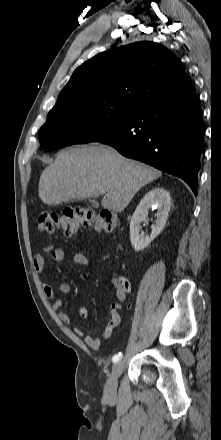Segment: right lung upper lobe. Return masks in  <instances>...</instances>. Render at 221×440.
Masks as SVG:
<instances>
[{"label":"right lung upper lobe","mask_w":221,"mask_h":440,"mask_svg":"<svg viewBox=\"0 0 221 440\" xmlns=\"http://www.w3.org/2000/svg\"><path fill=\"white\" fill-rule=\"evenodd\" d=\"M189 84L171 51L143 41L100 53L79 66L53 109L109 102L137 108L149 99Z\"/></svg>","instance_id":"right-lung-upper-lobe-1"}]
</instances>
